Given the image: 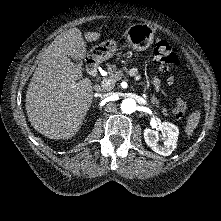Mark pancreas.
<instances>
[{
    "label": "pancreas",
    "instance_id": "1",
    "mask_svg": "<svg viewBox=\"0 0 221 221\" xmlns=\"http://www.w3.org/2000/svg\"><path fill=\"white\" fill-rule=\"evenodd\" d=\"M125 69H126V67H124L123 69L117 70L115 65H111V64L107 65L109 79L112 81V85L110 87L106 88L107 90H111L114 88L115 82H117L118 80L121 79V77L123 75V70H125ZM103 80H107V79L104 78ZM150 100L155 105L159 104V101H158L157 97L155 96V94H151ZM162 113L164 115H167V109L163 107Z\"/></svg>",
    "mask_w": 221,
    "mask_h": 221
}]
</instances>
